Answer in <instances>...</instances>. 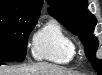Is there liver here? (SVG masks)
<instances>
[{
  "label": "liver",
  "mask_w": 102,
  "mask_h": 75,
  "mask_svg": "<svg viewBox=\"0 0 102 75\" xmlns=\"http://www.w3.org/2000/svg\"><path fill=\"white\" fill-rule=\"evenodd\" d=\"M0 75H78L73 72L66 71L60 67L37 63L29 66H2Z\"/></svg>",
  "instance_id": "obj_1"
}]
</instances>
